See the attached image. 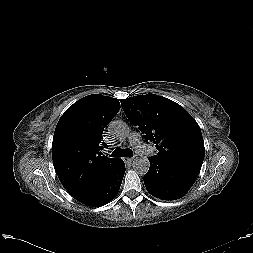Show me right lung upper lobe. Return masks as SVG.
<instances>
[{"instance_id": "right-lung-upper-lobe-1", "label": "right lung upper lobe", "mask_w": 253, "mask_h": 253, "mask_svg": "<svg viewBox=\"0 0 253 253\" xmlns=\"http://www.w3.org/2000/svg\"><path fill=\"white\" fill-rule=\"evenodd\" d=\"M120 110L118 99L88 95L61 116L52 142L55 171L65 189L75 196L108 176L120 159L103 156L104 128Z\"/></svg>"}]
</instances>
